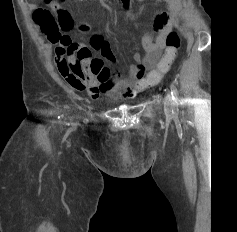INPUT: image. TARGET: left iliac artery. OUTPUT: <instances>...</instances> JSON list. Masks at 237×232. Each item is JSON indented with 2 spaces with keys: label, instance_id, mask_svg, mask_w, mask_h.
Returning <instances> with one entry per match:
<instances>
[{
  "label": "left iliac artery",
  "instance_id": "left-iliac-artery-1",
  "mask_svg": "<svg viewBox=\"0 0 237 232\" xmlns=\"http://www.w3.org/2000/svg\"><path fill=\"white\" fill-rule=\"evenodd\" d=\"M170 89H171V95H172V105L174 109H176L179 104L178 91L173 83L170 85Z\"/></svg>",
  "mask_w": 237,
  "mask_h": 232
}]
</instances>
